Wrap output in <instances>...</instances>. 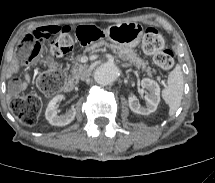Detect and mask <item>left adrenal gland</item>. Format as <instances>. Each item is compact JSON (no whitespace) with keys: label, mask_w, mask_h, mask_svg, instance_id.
Returning a JSON list of instances; mask_svg holds the SVG:
<instances>
[{"label":"left adrenal gland","mask_w":215,"mask_h":183,"mask_svg":"<svg viewBox=\"0 0 215 183\" xmlns=\"http://www.w3.org/2000/svg\"><path fill=\"white\" fill-rule=\"evenodd\" d=\"M123 67H128L130 64H122Z\"/></svg>","instance_id":"left-adrenal-gland-1"}]
</instances>
